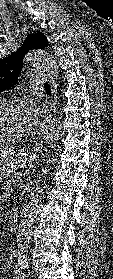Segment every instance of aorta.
Returning <instances> with one entry per match:
<instances>
[{"label": "aorta", "mask_w": 113, "mask_h": 279, "mask_svg": "<svg viewBox=\"0 0 113 279\" xmlns=\"http://www.w3.org/2000/svg\"><path fill=\"white\" fill-rule=\"evenodd\" d=\"M25 62L33 68L43 69L47 72H51L54 76H58L55 62L52 56L45 50H30L25 56ZM61 129L62 125L58 119L53 118L49 120L40 131V143L51 145L59 138ZM41 191L42 189L37 186V188L31 192L30 200L25 207L17 231V267L20 269H25L29 266L28 245L41 209Z\"/></svg>", "instance_id": "aorta-1"}]
</instances>
